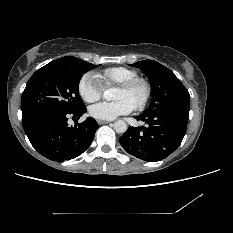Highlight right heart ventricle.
Wrapping results in <instances>:
<instances>
[{"mask_svg": "<svg viewBox=\"0 0 233 233\" xmlns=\"http://www.w3.org/2000/svg\"><path fill=\"white\" fill-rule=\"evenodd\" d=\"M95 76L102 85L109 87L110 85L119 84L136 77L138 76V73L134 69L119 66L106 68L105 70L97 73Z\"/></svg>", "mask_w": 233, "mask_h": 233, "instance_id": "1", "label": "right heart ventricle"}]
</instances>
